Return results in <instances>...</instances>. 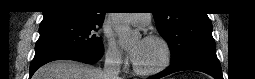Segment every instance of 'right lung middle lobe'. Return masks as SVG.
Returning a JSON list of instances; mask_svg holds the SVG:
<instances>
[{"label": "right lung middle lobe", "mask_w": 255, "mask_h": 79, "mask_svg": "<svg viewBox=\"0 0 255 79\" xmlns=\"http://www.w3.org/2000/svg\"><path fill=\"white\" fill-rule=\"evenodd\" d=\"M97 25H101V23L69 19L42 21L35 52L49 49L102 52V38L94 34Z\"/></svg>", "instance_id": "obj_1"}]
</instances>
